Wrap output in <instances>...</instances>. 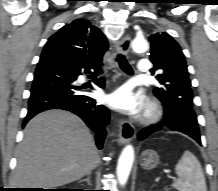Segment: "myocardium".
<instances>
[{"label": "myocardium", "mask_w": 218, "mask_h": 191, "mask_svg": "<svg viewBox=\"0 0 218 191\" xmlns=\"http://www.w3.org/2000/svg\"><path fill=\"white\" fill-rule=\"evenodd\" d=\"M163 116V107L155 100L148 102L141 116V121L144 124L150 125L157 123Z\"/></svg>", "instance_id": "f54148a6"}]
</instances>
